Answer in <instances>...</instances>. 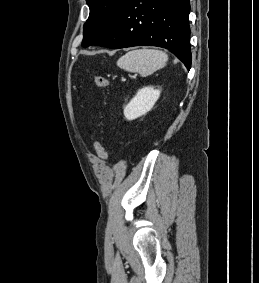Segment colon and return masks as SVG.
<instances>
[{
    "label": "colon",
    "mask_w": 259,
    "mask_h": 283,
    "mask_svg": "<svg viewBox=\"0 0 259 283\" xmlns=\"http://www.w3.org/2000/svg\"><path fill=\"white\" fill-rule=\"evenodd\" d=\"M92 81L99 88H107L110 84V82L107 78H105L104 76L99 75V74H93L92 75ZM96 151H97L98 156L101 159H103V160L108 159V150H107L106 146L101 141H98L96 143Z\"/></svg>",
    "instance_id": "1"
}]
</instances>
